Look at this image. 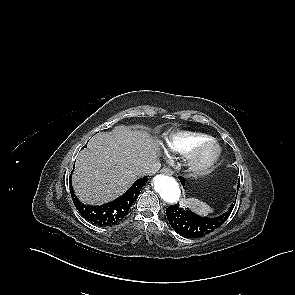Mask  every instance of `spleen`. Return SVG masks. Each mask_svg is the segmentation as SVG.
Returning a JSON list of instances; mask_svg holds the SVG:
<instances>
[{
	"label": "spleen",
	"mask_w": 295,
	"mask_h": 295,
	"mask_svg": "<svg viewBox=\"0 0 295 295\" xmlns=\"http://www.w3.org/2000/svg\"><path fill=\"white\" fill-rule=\"evenodd\" d=\"M186 204L200 215H208L213 211V209L208 204L195 198L188 199Z\"/></svg>",
	"instance_id": "spleen-1"
}]
</instances>
